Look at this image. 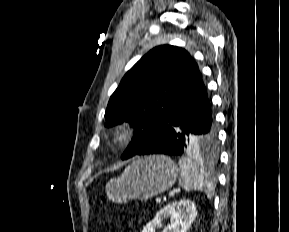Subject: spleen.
Instances as JSON below:
<instances>
[{
  "mask_svg": "<svg viewBox=\"0 0 289 232\" xmlns=\"http://www.w3.org/2000/svg\"><path fill=\"white\" fill-rule=\"evenodd\" d=\"M178 163L181 169L180 185L183 189L185 191H203L210 199L214 192V186L199 163L187 157L180 158Z\"/></svg>",
  "mask_w": 289,
  "mask_h": 232,
  "instance_id": "1",
  "label": "spleen"
}]
</instances>
